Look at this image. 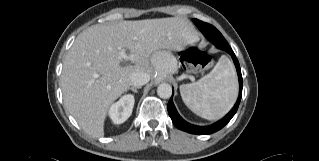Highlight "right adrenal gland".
Here are the masks:
<instances>
[{"mask_svg":"<svg viewBox=\"0 0 319 161\" xmlns=\"http://www.w3.org/2000/svg\"><path fill=\"white\" fill-rule=\"evenodd\" d=\"M138 88H140V87H131V88H129V90H131L134 93H137Z\"/></svg>","mask_w":319,"mask_h":161,"instance_id":"right-adrenal-gland-1","label":"right adrenal gland"}]
</instances>
